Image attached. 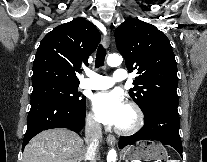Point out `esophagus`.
Wrapping results in <instances>:
<instances>
[{"label": "esophagus", "instance_id": "esophagus-1", "mask_svg": "<svg viewBox=\"0 0 207 162\" xmlns=\"http://www.w3.org/2000/svg\"><path fill=\"white\" fill-rule=\"evenodd\" d=\"M110 44V29L107 27V32L103 36V46L107 48ZM107 142L109 145L114 146L116 144V138L113 135L107 136Z\"/></svg>", "mask_w": 207, "mask_h": 162}]
</instances>
